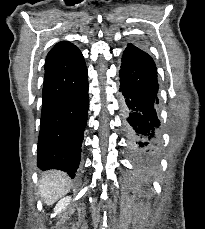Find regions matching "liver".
<instances>
[{
    "label": "liver",
    "mask_w": 205,
    "mask_h": 229,
    "mask_svg": "<svg viewBox=\"0 0 205 229\" xmlns=\"http://www.w3.org/2000/svg\"><path fill=\"white\" fill-rule=\"evenodd\" d=\"M70 190V180L61 171H49L40 180L39 194L47 205H51Z\"/></svg>",
    "instance_id": "obj_1"
}]
</instances>
